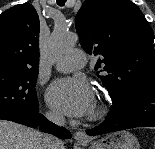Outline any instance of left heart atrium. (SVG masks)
<instances>
[{
  "mask_svg": "<svg viewBox=\"0 0 155 149\" xmlns=\"http://www.w3.org/2000/svg\"><path fill=\"white\" fill-rule=\"evenodd\" d=\"M94 93L83 77L55 81L47 92L48 104L69 116H83L94 107Z\"/></svg>",
  "mask_w": 155,
  "mask_h": 149,
  "instance_id": "39dd6f15",
  "label": "left heart atrium"
}]
</instances>
